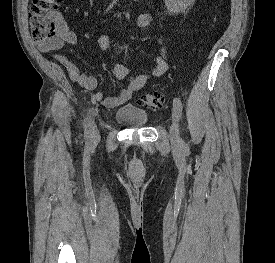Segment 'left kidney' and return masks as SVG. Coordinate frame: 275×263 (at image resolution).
<instances>
[{
  "label": "left kidney",
  "mask_w": 275,
  "mask_h": 263,
  "mask_svg": "<svg viewBox=\"0 0 275 263\" xmlns=\"http://www.w3.org/2000/svg\"><path fill=\"white\" fill-rule=\"evenodd\" d=\"M167 9L172 13L184 11L195 0H164Z\"/></svg>",
  "instance_id": "left-kidney-1"
}]
</instances>
